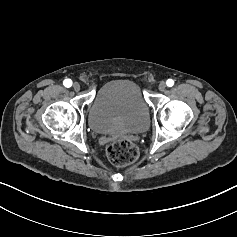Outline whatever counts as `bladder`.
<instances>
[{"instance_id": "bladder-1", "label": "bladder", "mask_w": 237, "mask_h": 237, "mask_svg": "<svg viewBox=\"0 0 237 237\" xmlns=\"http://www.w3.org/2000/svg\"><path fill=\"white\" fill-rule=\"evenodd\" d=\"M150 121L149 105L141 87L121 78L102 85L91 102L88 122L98 134L138 133Z\"/></svg>"}]
</instances>
